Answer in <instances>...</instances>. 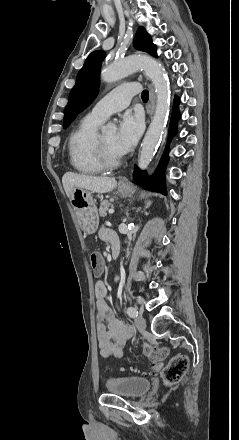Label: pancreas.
I'll list each match as a JSON object with an SVG mask.
<instances>
[{
	"label": "pancreas",
	"mask_w": 239,
	"mask_h": 440,
	"mask_svg": "<svg viewBox=\"0 0 239 440\" xmlns=\"http://www.w3.org/2000/svg\"><path fill=\"white\" fill-rule=\"evenodd\" d=\"M109 206H111L109 200H103L100 204L99 208V214L101 218H104V216H107V210H109Z\"/></svg>",
	"instance_id": "cf45deb5"
}]
</instances>
